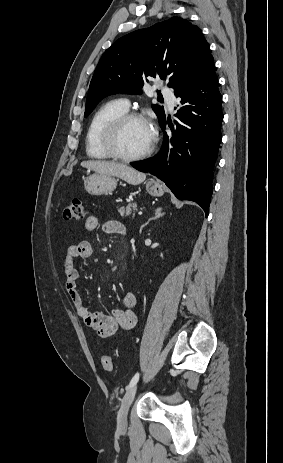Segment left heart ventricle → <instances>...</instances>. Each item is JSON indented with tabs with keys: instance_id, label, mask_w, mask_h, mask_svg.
<instances>
[{
	"instance_id": "obj_1",
	"label": "left heart ventricle",
	"mask_w": 283,
	"mask_h": 463,
	"mask_svg": "<svg viewBox=\"0 0 283 463\" xmlns=\"http://www.w3.org/2000/svg\"><path fill=\"white\" fill-rule=\"evenodd\" d=\"M151 138V130L145 122L132 120L120 130L116 139V147L124 155H136L149 146Z\"/></svg>"
}]
</instances>
